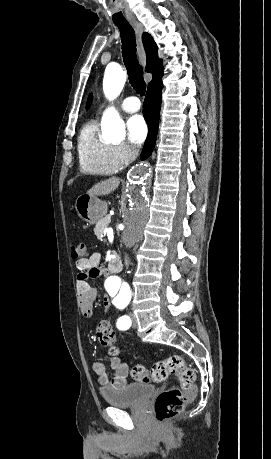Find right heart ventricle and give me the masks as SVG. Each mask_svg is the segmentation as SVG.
Listing matches in <instances>:
<instances>
[{
    "mask_svg": "<svg viewBox=\"0 0 271 459\" xmlns=\"http://www.w3.org/2000/svg\"><path fill=\"white\" fill-rule=\"evenodd\" d=\"M79 169L83 174H112L122 164L114 154V144L104 141L98 133L95 120L82 127L78 137Z\"/></svg>",
    "mask_w": 271,
    "mask_h": 459,
    "instance_id": "obj_1",
    "label": "right heart ventricle"
}]
</instances>
